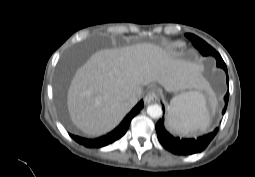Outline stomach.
Here are the masks:
<instances>
[{
  "label": "stomach",
  "mask_w": 255,
  "mask_h": 177,
  "mask_svg": "<svg viewBox=\"0 0 255 177\" xmlns=\"http://www.w3.org/2000/svg\"><path fill=\"white\" fill-rule=\"evenodd\" d=\"M189 93H192V92H187V93H183V94H189Z\"/></svg>",
  "instance_id": "stomach-1"
}]
</instances>
